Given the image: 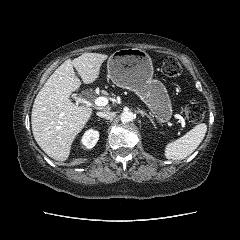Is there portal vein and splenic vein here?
<instances>
[{"mask_svg":"<svg viewBox=\"0 0 240 240\" xmlns=\"http://www.w3.org/2000/svg\"><path fill=\"white\" fill-rule=\"evenodd\" d=\"M96 106H106L108 104V99L106 97H97L94 101ZM174 117L179 120L181 127H185V121L183 117L179 114H175Z\"/></svg>","mask_w":240,"mask_h":240,"instance_id":"1","label":"portal vein and splenic vein"}]
</instances>
